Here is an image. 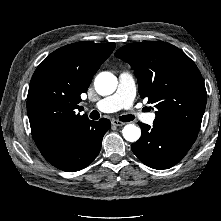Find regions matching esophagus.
Returning <instances> with one entry per match:
<instances>
[{"mask_svg": "<svg viewBox=\"0 0 221 221\" xmlns=\"http://www.w3.org/2000/svg\"><path fill=\"white\" fill-rule=\"evenodd\" d=\"M112 125H114V126H123V125H125V123L124 122H121V121H119V120H112Z\"/></svg>", "mask_w": 221, "mask_h": 221, "instance_id": "1", "label": "esophagus"}]
</instances>
